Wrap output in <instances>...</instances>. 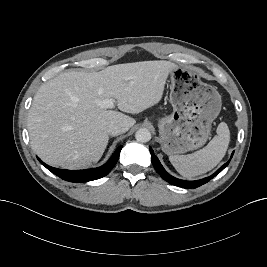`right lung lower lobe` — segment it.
Returning a JSON list of instances; mask_svg holds the SVG:
<instances>
[{
    "instance_id": "1",
    "label": "right lung lower lobe",
    "mask_w": 267,
    "mask_h": 267,
    "mask_svg": "<svg viewBox=\"0 0 267 267\" xmlns=\"http://www.w3.org/2000/svg\"><path fill=\"white\" fill-rule=\"evenodd\" d=\"M122 146H119L111 158L101 167L94 168V169H87V170H63L51 167L44 162H42L38 157V160L44 165L48 170H50L53 174L57 175L58 177L62 178L63 180L69 182H87L91 180H96L106 176L112 168L115 166L119 159L120 151Z\"/></svg>"
}]
</instances>
